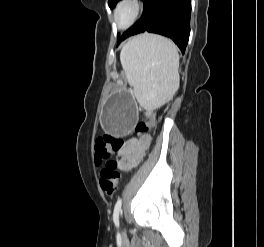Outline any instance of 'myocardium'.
Returning a JSON list of instances; mask_svg holds the SVG:
<instances>
[{
  "instance_id": "1",
  "label": "myocardium",
  "mask_w": 264,
  "mask_h": 247,
  "mask_svg": "<svg viewBox=\"0 0 264 247\" xmlns=\"http://www.w3.org/2000/svg\"><path fill=\"white\" fill-rule=\"evenodd\" d=\"M129 12V17L125 22L120 21V15L123 11ZM143 11L141 0H120L113 10V22L119 29L131 27L140 18Z\"/></svg>"
}]
</instances>
